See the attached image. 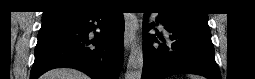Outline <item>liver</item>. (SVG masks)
I'll use <instances>...</instances> for the list:
<instances>
[{"mask_svg": "<svg viewBox=\"0 0 255 79\" xmlns=\"http://www.w3.org/2000/svg\"><path fill=\"white\" fill-rule=\"evenodd\" d=\"M41 79H89V77L75 69L59 68L47 72Z\"/></svg>", "mask_w": 255, "mask_h": 79, "instance_id": "6515ba94", "label": "liver"}]
</instances>
